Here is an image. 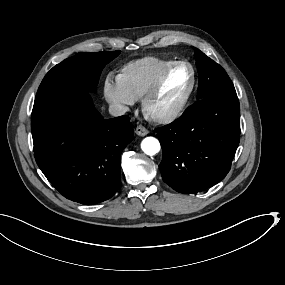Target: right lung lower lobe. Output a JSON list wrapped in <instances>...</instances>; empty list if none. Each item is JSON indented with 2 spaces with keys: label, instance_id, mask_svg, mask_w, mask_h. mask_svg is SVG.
<instances>
[{
  "label": "right lung lower lobe",
  "instance_id": "obj_1",
  "mask_svg": "<svg viewBox=\"0 0 285 285\" xmlns=\"http://www.w3.org/2000/svg\"><path fill=\"white\" fill-rule=\"evenodd\" d=\"M36 162L65 198L92 205L121 187V153L134 139L127 115L103 120L87 89L68 86L34 102Z\"/></svg>",
  "mask_w": 285,
  "mask_h": 285
}]
</instances>
